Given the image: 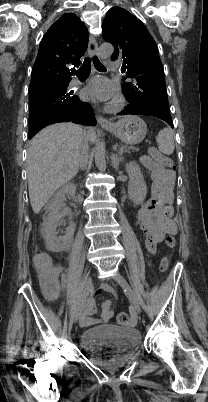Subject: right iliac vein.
I'll list each match as a JSON object with an SVG mask.
<instances>
[{"label":"right iliac vein","instance_id":"obj_1","mask_svg":"<svg viewBox=\"0 0 208 402\" xmlns=\"http://www.w3.org/2000/svg\"><path fill=\"white\" fill-rule=\"evenodd\" d=\"M91 289H92V278L88 277L86 280L85 286H84V298L81 300V302L76 310V313H75V322H77L78 319L80 318V315L85 306L86 298H87L89 292L91 291Z\"/></svg>","mask_w":208,"mask_h":402}]
</instances>
